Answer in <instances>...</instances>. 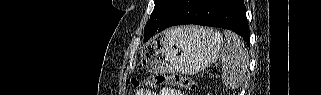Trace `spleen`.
Returning <instances> with one entry per match:
<instances>
[{
  "label": "spleen",
  "instance_id": "obj_1",
  "mask_svg": "<svg viewBox=\"0 0 321 95\" xmlns=\"http://www.w3.org/2000/svg\"><path fill=\"white\" fill-rule=\"evenodd\" d=\"M224 35L226 42L219 57L222 64L221 79L227 88L237 89L243 84L246 76L248 50L245 42L237 34L224 31Z\"/></svg>",
  "mask_w": 321,
  "mask_h": 95
}]
</instances>
